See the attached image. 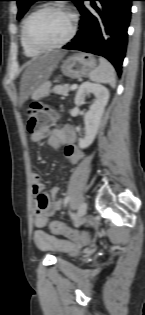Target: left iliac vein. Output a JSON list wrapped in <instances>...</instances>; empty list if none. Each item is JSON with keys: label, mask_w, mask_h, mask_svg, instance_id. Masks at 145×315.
Here are the masks:
<instances>
[{"label": "left iliac vein", "mask_w": 145, "mask_h": 315, "mask_svg": "<svg viewBox=\"0 0 145 315\" xmlns=\"http://www.w3.org/2000/svg\"><path fill=\"white\" fill-rule=\"evenodd\" d=\"M87 203L86 202H82L79 207H78V210H77V214H76V217H75V224L78 225L82 218L86 215V212H87Z\"/></svg>", "instance_id": "obj_1"}]
</instances>
